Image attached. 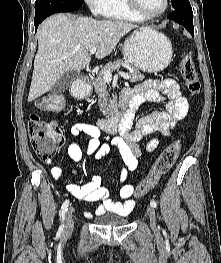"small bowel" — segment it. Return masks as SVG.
<instances>
[{
    "mask_svg": "<svg viewBox=\"0 0 221 263\" xmlns=\"http://www.w3.org/2000/svg\"><path fill=\"white\" fill-rule=\"evenodd\" d=\"M124 92L130 96V104L138 107L145 102H156L164 104L163 110L153 111L142 116L132 127L130 125L121 127L119 134L111 139L109 143H103L100 139V129L92 124L75 123L70 128V134L78 137L85 134L90 137L86 144L71 140L67 147L69 157L75 163H79L86 154H93L96 160L114 151L122 162L119 180L122 187L119 191V201L109 197L108 190L102 185L100 175L94 174L91 180L83 185L69 183L67 191L77 200L85 202H98L95 213L102 215L105 212L117 215H128L133 211L136 200L133 198L134 188L127 184L128 175L136 170L138 159L141 156L140 142L147 136H152L146 145L147 152H153L159 145L160 135L169 136L177 123L183 120L189 111V105L183 96L178 83L173 79L147 80L135 85L133 89H125ZM50 164V161L46 162ZM50 173L55 180L63 176L62 168L53 166ZM91 217V212H86Z\"/></svg>",
    "mask_w": 221,
    "mask_h": 263,
    "instance_id": "c3829d8e",
    "label": "small bowel"
}]
</instances>
